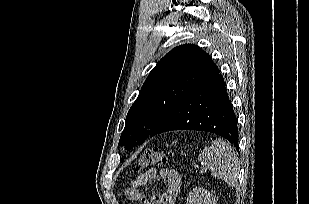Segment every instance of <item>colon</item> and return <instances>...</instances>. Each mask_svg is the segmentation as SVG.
<instances>
[{"mask_svg": "<svg viewBox=\"0 0 309 204\" xmlns=\"http://www.w3.org/2000/svg\"><path fill=\"white\" fill-rule=\"evenodd\" d=\"M172 156V152L165 151L160 147L149 148L145 150L133 164L132 170L134 172H139L155 165L165 164Z\"/></svg>", "mask_w": 309, "mask_h": 204, "instance_id": "5ec220e1", "label": "colon"}]
</instances>
